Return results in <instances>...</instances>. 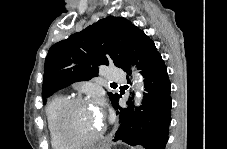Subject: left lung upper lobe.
Masks as SVG:
<instances>
[{
    "instance_id": "1",
    "label": "left lung upper lobe",
    "mask_w": 227,
    "mask_h": 149,
    "mask_svg": "<svg viewBox=\"0 0 227 149\" xmlns=\"http://www.w3.org/2000/svg\"><path fill=\"white\" fill-rule=\"evenodd\" d=\"M136 28L125 18L109 16L54 44L45 60L43 103L59 89L98 76L100 65L114 63L123 68ZM108 95L112 102L118 96Z\"/></svg>"
}]
</instances>
